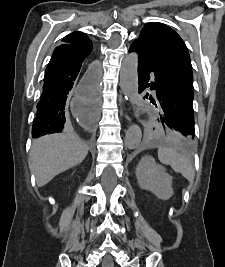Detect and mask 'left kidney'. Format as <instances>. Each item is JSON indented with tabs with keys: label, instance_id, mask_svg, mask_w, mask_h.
<instances>
[{
	"label": "left kidney",
	"instance_id": "obj_1",
	"mask_svg": "<svg viewBox=\"0 0 225 267\" xmlns=\"http://www.w3.org/2000/svg\"><path fill=\"white\" fill-rule=\"evenodd\" d=\"M135 174L141 189L152 192L162 200L172 197V177L163 167L156 164L153 157H143L136 167Z\"/></svg>",
	"mask_w": 225,
	"mask_h": 267
}]
</instances>
